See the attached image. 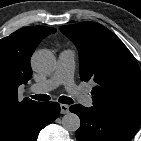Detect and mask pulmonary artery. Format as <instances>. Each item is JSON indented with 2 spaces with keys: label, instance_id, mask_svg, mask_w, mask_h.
<instances>
[{
  "label": "pulmonary artery",
  "instance_id": "pulmonary-artery-1",
  "mask_svg": "<svg viewBox=\"0 0 141 141\" xmlns=\"http://www.w3.org/2000/svg\"><path fill=\"white\" fill-rule=\"evenodd\" d=\"M75 67V53L67 49L60 52L54 73L50 78L30 87L32 93H45L59 85L65 89L84 106L90 107L93 104L92 98L85 91L81 90L73 80Z\"/></svg>",
  "mask_w": 141,
  "mask_h": 141
}]
</instances>
